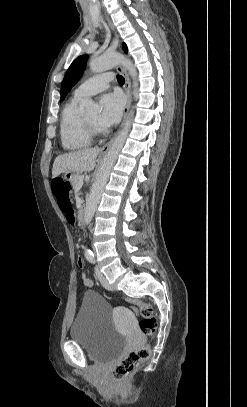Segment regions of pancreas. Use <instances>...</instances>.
Segmentation results:
<instances>
[{
  "label": "pancreas",
  "mask_w": 247,
  "mask_h": 407,
  "mask_svg": "<svg viewBox=\"0 0 247 407\" xmlns=\"http://www.w3.org/2000/svg\"><path fill=\"white\" fill-rule=\"evenodd\" d=\"M81 178H83V175H75L72 179L71 183L74 189L78 187Z\"/></svg>",
  "instance_id": "cf45deb5"
}]
</instances>
